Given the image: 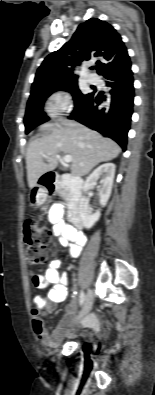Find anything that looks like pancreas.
Instances as JSON below:
<instances>
[{"instance_id":"1","label":"pancreas","mask_w":155,"mask_h":395,"mask_svg":"<svg viewBox=\"0 0 155 395\" xmlns=\"http://www.w3.org/2000/svg\"><path fill=\"white\" fill-rule=\"evenodd\" d=\"M60 197L62 198H66L67 197V190L66 189H62L58 191Z\"/></svg>"}]
</instances>
